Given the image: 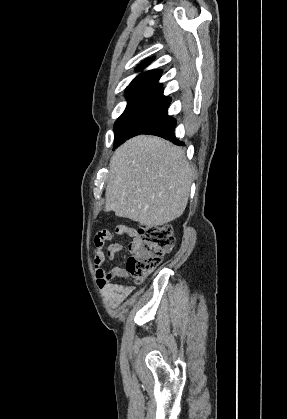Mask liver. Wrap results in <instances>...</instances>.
I'll return each mask as SVG.
<instances>
[{"label": "liver", "mask_w": 287, "mask_h": 419, "mask_svg": "<svg viewBox=\"0 0 287 419\" xmlns=\"http://www.w3.org/2000/svg\"><path fill=\"white\" fill-rule=\"evenodd\" d=\"M109 169L105 211L147 227L167 224L185 211L193 170L183 148L139 135L117 148Z\"/></svg>", "instance_id": "liver-1"}]
</instances>
